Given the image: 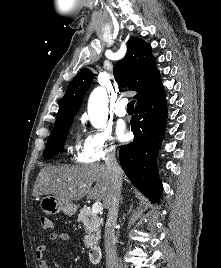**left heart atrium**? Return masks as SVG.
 <instances>
[{
	"instance_id": "39dd6f15",
	"label": "left heart atrium",
	"mask_w": 221,
	"mask_h": 268,
	"mask_svg": "<svg viewBox=\"0 0 221 268\" xmlns=\"http://www.w3.org/2000/svg\"><path fill=\"white\" fill-rule=\"evenodd\" d=\"M116 133H117L118 139L121 141L126 140L128 137L125 126L123 124H120L117 126Z\"/></svg>"
}]
</instances>
